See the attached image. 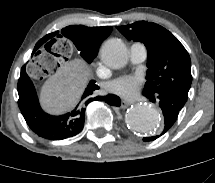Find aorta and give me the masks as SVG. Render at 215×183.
Returning a JSON list of instances; mask_svg holds the SVG:
<instances>
[{"instance_id": "1", "label": "aorta", "mask_w": 215, "mask_h": 183, "mask_svg": "<svg viewBox=\"0 0 215 183\" xmlns=\"http://www.w3.org/2000/svg\"><path fill=\"white\" fill-rule=\"evenodd\" d=\"M101 58L112 69L122 68L127 62V48L120 39H109L101 47ZM125 122L130 130L142 134H154L161 127L160 114L148 104H138L130 108Z\"/></svg>"}]
</instances>
